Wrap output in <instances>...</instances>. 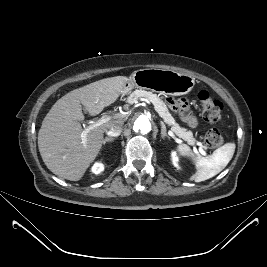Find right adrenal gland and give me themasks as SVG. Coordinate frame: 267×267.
Listing matches in <instances>:
<instances>
[{
  "instance_id": "obj_1",
  "label": "right adrenal gland",
  "mask_w": 267,
  "mask_h": 267,
  "mask_svg": "<svg viewBox=\"0 0 267 267\" xmlns=\"http://www.w3.org/2000/svg\"><path fill=\"white\" fill-rule=\"evenodd\" d=\"M113 141H114V138L106 137V138L103 140V145H105L106 142H113Z\"/></svg>"
}]
</instances>
